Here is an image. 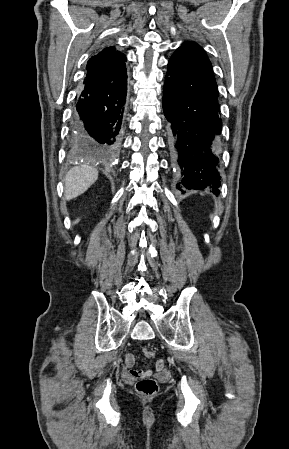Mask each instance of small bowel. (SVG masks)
Here are the masks:
<instances>
[{"label": "small bowel", "mask_w": 289, "mask_h": 449, "mask_svg": "<svg viewBox=\"0 0 289 449\" xmlns=\"http://www.w3.org/2000/svg\"><path fill=\"white\" fill-rule=\"evenodd\" d=\"M135 364V356L133 354H127L125 356V365L129 368L128 376L131 378H138L140 375H150L151 371L146 370H136L133 369V366ZM164 360L161 358L156 363V370L161 372L164 370Z\"/></svg>", "instance_id": "1"}]
</instances>
